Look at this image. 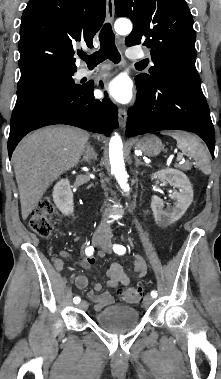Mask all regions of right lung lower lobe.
Masks as SVG:
<instances>
[{
    "instance_id": "right-lung-lower-lobe-1",
    "label": "right lung lower lobe",
    "mask_w": 221,
    "mask_h": 379,
    "mask_svg": "<svg viewBox=\"0 0 221 379\" xmlns=\"http://www.w3.org/2000/svg\"><path fill=\"white\" fill-rule=\"evenodd\" d=\"M94 85L84 84L76 91L62 92L61 96L36 103L23 116L10 124L8 153L30 131L53 124H67L110 136L118 127L116 106L108 99L95 100Z\"/></svg>"
}]
</instances>
